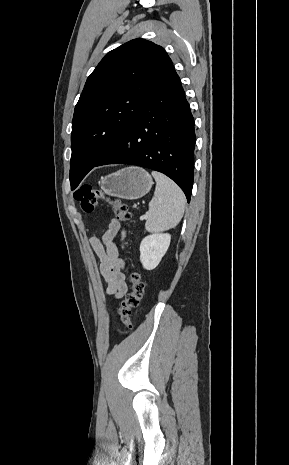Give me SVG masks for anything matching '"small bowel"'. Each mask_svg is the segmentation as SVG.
Here are the masks:
<instances>
[{
	"mask_svg": "<svg viewBox=\"0 0 289 465\" xmlns=\"http://www.w3.org/2000/svg\"><path fill=\"white\" fill-rule=\"evenodd\" d=\"M121 230V225L116 220H111L109 226L101 237H92L90 244L99 260L100 272L106 287V293L115 298H121L127 292L125 274L123 273V261L119 257V249L116 236Z\"/></svg>",
	"mask_w": 289,
	"mask_h": 465,
	"instance_id": "c3829d8e",
	"label": "small bowel"
}]
</instances>
